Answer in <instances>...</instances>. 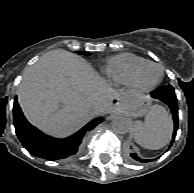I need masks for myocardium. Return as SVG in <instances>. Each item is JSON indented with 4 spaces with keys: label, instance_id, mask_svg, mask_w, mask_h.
<instances>
[{
    "label": "myocardium",
    "instance_id": "1",
    "mask_svg": "<svg viewBox=\"0 0 194 193\" xmlns=\"http://www.w3.org/2000/svg\"><path fill=\"white\" fill-rule=\"evenodd\" d=\"M147 66H154V67L158 68L159 71H160L158 79L155 82L151 83V84H145L141 80V74ZM163 74H164V69L160 64L152 62V61H146V62L140 64L136 68V70L134 72L132 85L135 89H137L139 91H143V92L152 91L161 83L162 78H163Z\"/></svg>",
    "mask_w": 194,
    "mask_h": 193
}]
</instances>
